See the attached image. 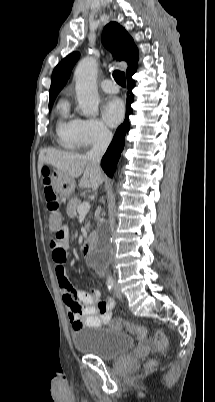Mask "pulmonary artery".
Listing matches in <instances>:
<instances>
[{
    "label": "pulmonary artery",
    "mask_w": 215,
    "mask_h": 402,
    "mask_svg": "<svg viewBox=\"0 0 215 402\" xmlns=\"http://www.w3.org/2000/svg\"><path fill=\"white\" fill-rule=\"evenodd\" d=\"M102 90L106 93L114 94L119 91L116 83L110 79H105L100 83Z\"/></svg>",
    "instance_id": "1"
}]
</instances>
